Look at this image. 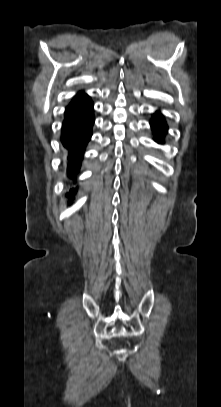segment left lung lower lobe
Instances as JSON below:
<instances>
[{"mask_svg": "<svg viewBox=\"0 0 221 407\" xmlns=\"http://www.w3.org/2000/svg\"><path fill=\"white\" fill-rule=\"evenodd\" d=\"M151 127L154 135L158 137L157 142L161 143L163 137L167 133L168 127L160 113H156L154 116L153 121H151Z\"/></svg>", "mask_w": 221, "mask_h": 407, "instance_id": "1", "label": "left lung lower lobe"}]
</instances>
